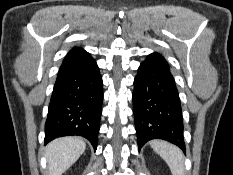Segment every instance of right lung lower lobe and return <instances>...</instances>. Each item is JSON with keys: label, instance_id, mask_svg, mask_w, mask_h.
Wrapping results in <instances>:
<instances>
[{"label": "right lung lower lobe", "instance_id": "98d812e1", "mask_svg": "<svg viewBox=\"0 0 233 175\" xmlns=\"http://www.w3.org/2000/svg\"><path fill=\"white\" fill-rule=\"evenodd\" d=\"M102 78L87 52L65 59L59 69L45 123V143L69 135L97 148L102 112Z\"/></svg>", "mask_w": 233, "mask_h": 175}]
</instances>
